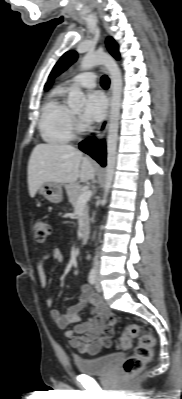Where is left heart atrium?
<instances>
[{
    "mask_svg": "<svg viewBox=\"0 0 182 399\" xmlns=\"http://www.w3.org/2000/svg\"><path fill=\"white\" fill-rule=\"evenodd\" d=\"M106 106V99L102 93L97 91L88 93L81 114L82 121L86 124L100 121L105 114Z\"/></svg>",
    "mask_w": 182,
    "mask_h": 399,
    "instance_id": "1",
    "label": "left heart atrium"
}]
</instances>
